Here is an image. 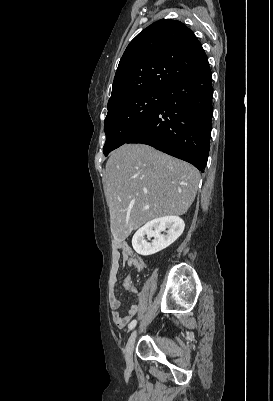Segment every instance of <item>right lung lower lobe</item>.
<instances>
[{
    "instance_id": "98d812e1",
    "label": "right lung lower lobe",
    "mask_w": 273,
    "mask_h": 401,
    "mask_svg": "<svg viewBox=\"0 0 273 401\" xmlns=\"http://www.w3.org/2000/svg\"><path fill=\"white\" fill-rule=\"evenodd\" d=\"M212 98L207 64L164 91L160 105L126 143L150 145L203 170L209 153Z\"/></svg>"
}]
</instances>
